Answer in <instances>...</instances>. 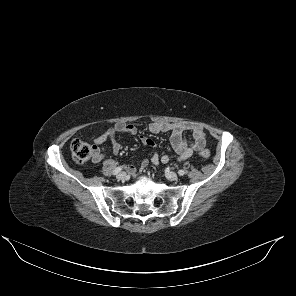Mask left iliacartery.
Segmentation results:
<instances>
[{
  "label": "left iliac artery",
  "instance_id": "left-iliac-artery-1",
  "mask_svg": "<svg viewBox=\"0 0 296 296\" xmlns=\"http://www.w3.org/2000/svg\"><path fill=\"white\" fill-rule=\"evenodd\" d=\"M185 173H186V172H185L184 170H182V169L178 171V174H179L180 176L185 175Z\"/></svg>",
  "mask_w": 296,
  "mask_h": 296
}]
</instances>
